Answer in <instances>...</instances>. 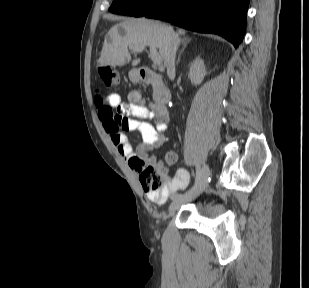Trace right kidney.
Listing matches in <instances>:
<instances>
[{
	"mask_svg": "<svg viewBox=\"0 0 309 288\" xmlns=\"http://www.w3.org/2000/svg\"><path fill=\"white\" fill-rule=\"evenodd\" d=\"M206 75L205 65L202 59H196L190 66L189 78L195 85L202 83Z\"/></svg>",
	"mask_w": 309,
	"mask_h": 288,
	"instance_id": "obj_1",
	"label": "right kidney"
}]
</instances>
